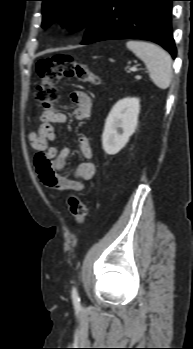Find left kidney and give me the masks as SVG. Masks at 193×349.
Listing matches in <instances>:
<instances>
[{
	"label": "left kidney",
	"mask_w": 193,
	"mask_h": 349,
	"mask_svg": "<svg viewBox=\"0 0 193 349\" xmlns=\"http://www.w3.org/2000/svg\"><path fill=\"white\" fill-rule=\"evenodd\" d=\"M138 98L119 100L111 109L102 134V146L109 155L117 154L128 143L138 123Z\"/></svg>",
	"instance_id": "5707ae66"
}]
</instances>
